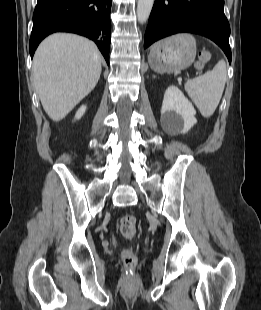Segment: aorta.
Returning a JSON list of instances; mask_svg holds the SVG:
<instances>
[{
  "label": "aorta",
  "instance_id": "obj_1",
  "mask_svg": "<svg viewBox=\"0 0 261 310\" xmlns=\"http://www.w3.org/2000/svg\"><path fill=\"white\" fill-rule=\"evenodd\" d=\"M155 0H138L137 3V19L138 22L145 23L150 15Z\"/></svg>",
  "mask_w": 261,
  "mask_h": 310
}]
</instances>
